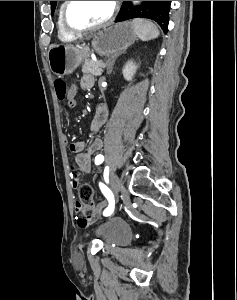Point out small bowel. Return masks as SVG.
<instances>
[{
    "mask_svg": "<svg viewBox=\"0 0 237 300\" xmlns=\"http://www.w3.org/2000/svg\"><path fill=\"white\" fill-rule=\"evenodd\" d=\"M94 85V79L91 75H84L81 78V87L89 90ZM77 94V87L71 86L69 88V95L75 97ZM109 115L108 108L105 104H101L95 111L93 119L91 121V132L93 134V139L86 149V143L84 141H76L69 145V150L74 154V163L71 165V170L75 172L72 177V186L75 188L79 184V178L77 173L88 174L91 171L92 163L91 157L101 150L103 146V142L98 136V133L103 128L105 123L107 122ZM105 207V203L101 202L97 205L96 211L99 212ZM75 210L77 213L81 211V206L76 204ZM96 215L92 218L80 217L78 219V225L80 228H85L89 224H91Z\"/></svg>",
    "mask_w": 237,
    "mask_h": 300,
    "instance_id": "obj_1",
    "label": "small bowel"
}]
</instances>
